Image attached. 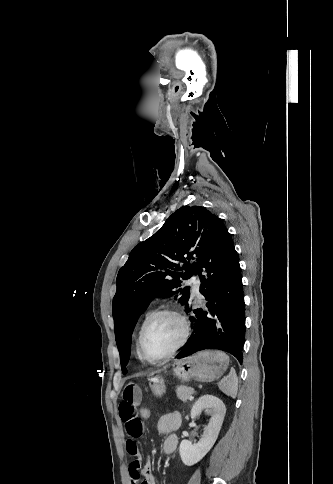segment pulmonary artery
Returning a JSON list of instances; mask_svg holds the SVG:
<instances>
[{
	"instance_id": "obj_1",
	"label": "pulmonary artery",
	"mask_w": 333,
	"mask_h": 484,
	"mask_svg": "<svg viewBox=\"0 0 333 484\" xmlns=\"http://www.w3.org/2000/svg\"><path fill=\"white\" fill-rule=\"evenodd\" d=\"M190 283L192 284L194 294L199 295L200 279L194 276L190 279Z\"/></svg>"
}]
</instances>
